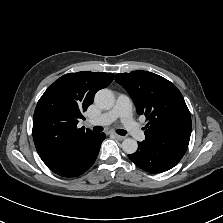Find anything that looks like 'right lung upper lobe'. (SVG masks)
<instances>
[{
    "label": "right lung upper lobe",
    "mask_w": 223,
    "mask_h": 223,
    "mask_svg": "<svg viewBox=\"0 0 223 223\" xmlns=\"http://www.w3.org/2000/svg\"><path fill=\"white\" fill-rule=\"evenodd\" d=\"M113 78V73H68L39 99L33 117V139L42 161L53 172L70 165L84 143L96 134L77 128L78 119H84L82 112L92 104L95 93Z\"/></svg>",
    "instance_id": "1"
}]
</instances>
